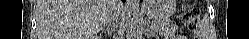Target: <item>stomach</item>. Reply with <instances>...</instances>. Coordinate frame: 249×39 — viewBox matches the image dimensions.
I'll list each match as a JSON object with an SVG mask.
<instances>
[{"label":"stomach","mask_w":249,"mask_h":39,"mask_svg":"<svg viewBox=\"0 0 249 39\" xmlns=\"http://www.w3.org/2000/svg\"><path fill=\"white\" fill-rule=\"evenodd\" d=\"M143 10L153 21H164L175 13L176 6L174 0H146Z\"/></svg>","instance_id":"1"}]
</instances>
